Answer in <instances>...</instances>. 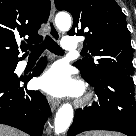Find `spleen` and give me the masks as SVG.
Listing matches in <instances>:
<instances>
[{"label":"spleen","mask_w":136,"mask_h":136,"mask_svg":"<svg viewBox=\"0 0 136 136\" xmlns=\"http://www.w3.org/2000/svg\"><path fill=\"white\" fill-rule=\"evenodd\" d=\"M84 136H120V135L110 132H90L85 134Z\"/></svg>","instance_id":"obj_1"}]
</instances>
